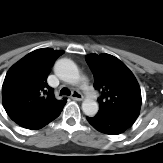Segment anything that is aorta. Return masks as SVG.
Listing matches in <instances>:
<instances>
[{
	"mask_svg": "<svg viewBox=\"0 0 163 163\" xmlns=\"http://www.w3.org/2000/svg\"><path fill=\"white\" fill-rule=\"evenodd\" d=\"M55 73L63 81L75 84L80 79V73L76 64L69 59H61L55 64ZM82 110L87 116H94L99 110L96 101L92 99H85L82 103Z\"/></svg>",
	"mask_w": 163,
	"mask_h": 163,
	"instance_id": "aorta-1",
	"label": "aorta"
}]
</instances>
